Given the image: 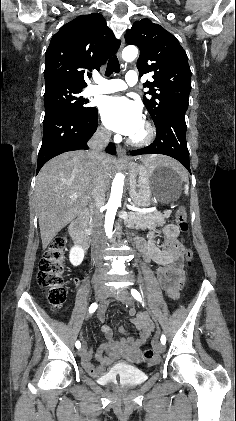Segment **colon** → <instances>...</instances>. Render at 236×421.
<instances>
[{
    "label": "colon",
    "instance_id": "1",
    "mask_svg": "<svg viewBox=\"0 0 236 421\" xmlns=\"http://www.w3.org/2000/svg\"><path fill=\"white\" fill-rule=\"evenodd\" d=\"M176 223L181 231H187V212L184 207H180L176 213ZM65 250L66 240L64 237H56L47 248L44 256L39 262L37 281L46 299L54 310L59 309L67 297L65 286ZM183 254L187 264L191 265L193 253L189 248L184 249ZM155 352L147 349L144 358L153 360Z\"/></svg>",
    "mask_w": 236,
    "mask_h": 421
}]
</instances>
